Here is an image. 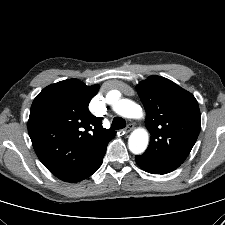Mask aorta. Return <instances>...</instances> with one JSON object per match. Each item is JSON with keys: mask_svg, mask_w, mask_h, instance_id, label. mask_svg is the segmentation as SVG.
I'll use <instances>...</instances> for the list:
<instances>
[{"mask_svg": "<svg viewBox=\"0 0 225 225\" xmlns=\"http://www.w3.org/2000/svg\"><path fill=\"white\" fill-rule=\"evenodd\" d=\"M119 92L116 90L110 91L107 94V102L112 104L113 110L122 117L126 118H141L143 116L140 105L129 99H119ZM149 142V134L146 129H135L129 136L128 147L133 154H142Z\"/></svg>", "mask_w": 225, "mask_h": 225, "instance_id": "obj_1", "label": "aorta"}]
</instances>
